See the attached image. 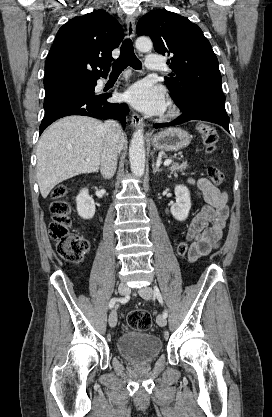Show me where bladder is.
<instances>
[{
	"instance_id": "obj_1",
	"label": "bladder",
	"mask_w": 272,
	"mask_h": 417,
	"mask_svg": "<svg viewBox=\"0 0 272 417\" xmlns=\"http://www.w3.org/2000/svg\"><path fill=\"white\" fill-rule=\"evenodd\" d=\"M120 355L135 364H145L155 360L162 350L161 340L152 334L127 332L117 341Z\"/></svg>"
}]
</instances>
